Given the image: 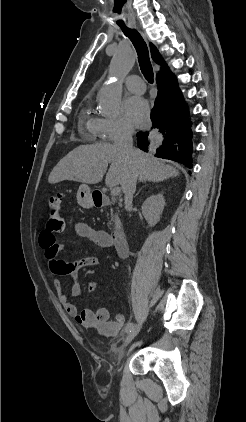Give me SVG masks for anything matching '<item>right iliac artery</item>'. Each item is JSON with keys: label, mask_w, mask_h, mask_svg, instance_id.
<instances>
[{"label": "right iliac artery", "mask_w": 246, "mask_h": 422, "mask_svg": "<svg viewBox=\"0 0 246 422\" xmlns=\"http://www.w3.org/2000/svg\"><path fill=\"white\" fill-rule=\"evenodd\" d=\"M133 325H134L133 323H128L127 326H126V332H130Z\"/></svg>", "instance_id": "82829eb1"}]
</instances>
